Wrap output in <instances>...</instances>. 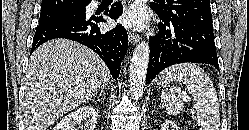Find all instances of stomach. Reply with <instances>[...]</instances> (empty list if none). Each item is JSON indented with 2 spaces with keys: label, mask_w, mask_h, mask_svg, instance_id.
Masks as SVG:
<instances>
[{
  "label": "stomach",
  "mask_w": 249,
  "mask_h": 130,
  "mask_svg": "<svg viewBox=\"0 0 249 130\" xmlns=\"http://www.w3.org/2000/svg\"><path fill=\"white\" fill-rule=\"evenodd\" d=\"M167 84H168V83H167ZM158 85H160V86H165V82H164L162 79H160L159 82H158Z\"/></svg>",
  "instance_id": "0dacf381"
}]
</instances>
